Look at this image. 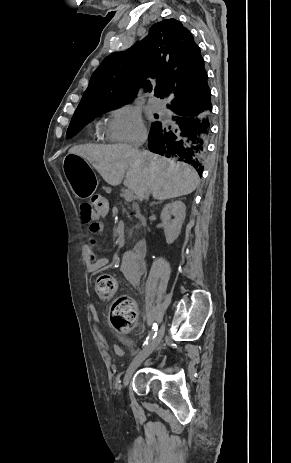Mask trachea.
<instances>
[{"mask_svg": "<svg viewBox=\"0 0 291 463\" xmlns=\"http://www.w3.org/2000/svg\"><path fill=\"white\" fill-rule=\"evenodd\" d=\"M156 95H157L158 97H161V98L164 97V94H163L162 92H157Z\"/></svg>", "mask_w": 291, "mask_h": 463, "instance_id": "obj_1", "label": "trachea"}]
</instances>
